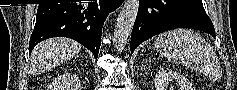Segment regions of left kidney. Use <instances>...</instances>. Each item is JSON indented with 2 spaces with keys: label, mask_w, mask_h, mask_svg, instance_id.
I'll return each mask as SVG.
<instances>
[{
  "label": "left kidney",
  "mask_w": 237,
  "mask_h": 90,
  "mask_svg": "<svg viewBox=\"0 0 237 90\" xmlns=\"http://www.w3.org/2000/svg\"><path fill=\"white\" fill-rule=\"evenodd\" d=\"M156 90H193V86L187 78L172 72V70H159L155 76Z\"/></svg>",
  "instance_id": "obj_1"
}]
</instances>
